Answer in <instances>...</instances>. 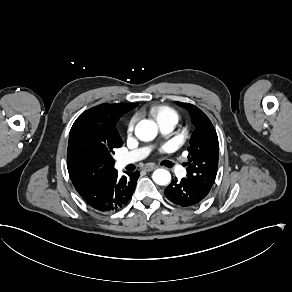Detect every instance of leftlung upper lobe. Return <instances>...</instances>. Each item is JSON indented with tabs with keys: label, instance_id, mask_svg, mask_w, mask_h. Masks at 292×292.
Listing matches in <instances>:
<instances>
[{
	"label": "left lung upper lobe",
	"instance_id": "5c2ea615",
	"mask_svg": "<svg viewBox=\"0 0 292 292\" xmlns=\"http://www.w3.org/2000/svg\"><path fill=\"white\" fill-rule=\"evenodd\" d=\"M187 109L195 127L190 138L187 163V176L184 178L189 183L211 189L215 182L218 169L219 143L216 130L206 114L198 107L176 102Z\"/></svg>",
	"mask_w": 292,
	"mask_h": 292
}]
</instances>
